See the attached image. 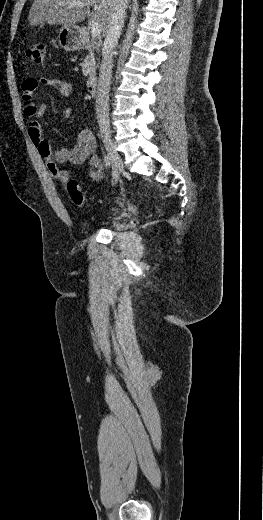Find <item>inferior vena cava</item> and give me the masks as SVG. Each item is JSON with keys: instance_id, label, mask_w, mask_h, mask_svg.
I'll return each instance as SVG.
<instances>
[{"instance_id": "inferior-vena-cava-1", "label": "inferior vena cava", "mask_w": 263, "mask_h": 520, "mask_svg": "<svg viewBox=\"0 0 263 520\" xmlns=\"http://www.w3.org/2000/svg\"><path fill=\"white\" fill-rule=\"evenodd\" d=\"M112 19L105 35L102 48V61L96 98V113L101 133H109V91L113 68V53L121 35L128 0H113Z\"/></svg>"}]
</instances>
